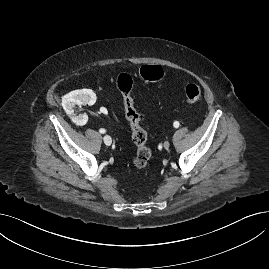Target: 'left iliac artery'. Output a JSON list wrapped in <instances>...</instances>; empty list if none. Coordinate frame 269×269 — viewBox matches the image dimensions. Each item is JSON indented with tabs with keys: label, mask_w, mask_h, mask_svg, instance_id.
Wrapping results in <instances>:
<instances>
[{
	"label": "left iliac artery",
	"mask_w": 269,
	"mask_h": 269,
	"mask_svg": "<svg viewBox=\"0 0 269 269\" xmlns=\"http://www.w3.org/2000/svg\"><path fill=\"white\" fill-rule=\"evenodd\" d=\"M173 125H174L175 128H178L180 124H179L178 121H175V122L173 123Z\"/></svg>",
	"instance_id": "1"
}]
</instances>
